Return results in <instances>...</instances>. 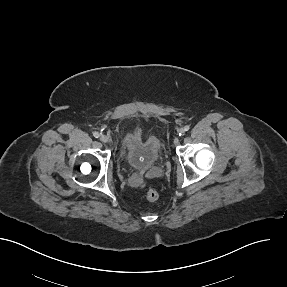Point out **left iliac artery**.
Instances as JSON below:
<instances>
[{
	"label": "left iliac artery",
	"mask_w": 287,
	"mask_h": 287,
	"mask_svg": "<svg viewBox=\"0 0 287 287\" xmlns=\"http://www.w3.org/2000/svg\"><path fill=\"white\" fill-rule=\"evenodd\" d=\"M190 129V126L189 125H186L185 127H184V131L186 132V131H188ZM180 135H181V133H180Z\"/></svg>",
	"instance_id": "left-iliac-artery-1"
}]
</instances>
